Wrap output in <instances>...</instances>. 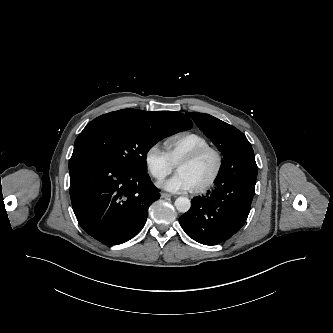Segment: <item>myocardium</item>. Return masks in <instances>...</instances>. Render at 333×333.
<instances>
[{
    "mask_svg": "<svg viewBox=\"0 0 333 333\" xmlns=\"http://www.w3.org/2000/svg\"><path fill=\"white\" fill-rule=\"evenodd\" d=\"M206 154H212L214 156L215 168H214L211 176L208 178V180L206 182H204L202 185L193 189V191L196 193H201V192L208 190L216 182L217 178L220 175V172L222 169V164H223L221 154L219 153V151L217 149H215L212 146H204V147L198 148V149L194 150L193 152L189 153L188 155L183 157L177 164V168H178L182 164L193 163V162L199 160L200 158H202L203 156H205Z\"/></svg>",
    "mask_w": 333,
    "mask_h": 333,
    "instance_id": "myocardium-1",
    "label": "myocardium"
}]
</instances>
